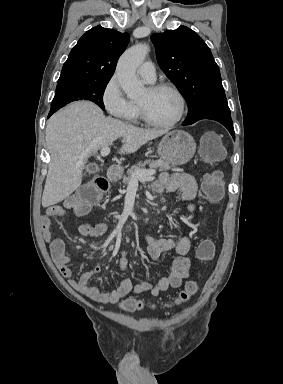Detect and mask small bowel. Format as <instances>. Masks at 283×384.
<instances>
[{
    "mask_svg": "<svg viewBox=\"0 0 283 384\" xmlns=\"http://www.w3.org/2000/svg\"><path fill=\"white\" fill-rule=\"evenodd\" d=\"M197 189L195 178L182 172L164 173L153 184V190L157 193L181 190L182 199L189 203V210H193V205L190 202L195 198ZM64 213V207L61 205L48 207L41 221L42 232L49 244L52 260L62 276L68 280L75 290L89 299L104 304H115L130 294L142 295L150 292L153 296H157L169 288H179L183 281L189 277L191 262L187 255L191 247L190 239L186 236L178 240L174 238L156 239L148 233L146 235L147 253L151 260H158L162 253L166 251L172 250L177 254L169 267L168 276L155 283L144 281L136 285H133L129 278H124L116 288L110 291H102L97 286L89 285V281L99 274L101 270L100 265H96L93 270L85 272L79 278L74 279L69 268L70 259L65 253L64 241L54 234L51 227L52 218L62 216ZM78 230L83 236L100 237L107 233L108 225L106 223H83ZM126 266V253L122 252L119 267L124 269Z\"/></svg>",
    "mask_w": 283,
    "mask_h": 384,
    "instance_id": "small-bowel-1",
    "label": "small bowel"
}]
</instances>
